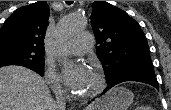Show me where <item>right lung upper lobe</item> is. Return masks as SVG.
<instances>
[{
  "label": "right lung upper lobe",
  "instance_id": "cb5924a9",
  "mask_svg": "<svg viewBox=\"0 0 171 110\" xmlns=\"http://www.w3.org/2000/svg\"><path fill=\"white\" fill-rule=\"evenodd\" d=\"M49 18V6L38 1L17 9L0 28V43L10 42L45 50L43 40Z\"/></svg>",
  "mask_w": 171,
  "mask_h": 110
}]
</instances>
